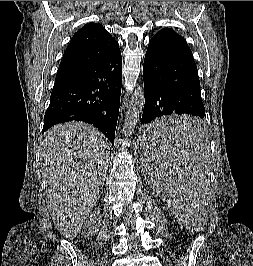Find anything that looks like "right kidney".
I'll return each mask as SVG.
<instances>
[{
    "label": "right kidney",
    "instance_id": "right-kidney-1",
    "mask_svg": "<svg viewBox=\"0 0 253 266\" xmlns=\"http://www.w3.org/2000/svg\"><path fill=\"white\" fill-rule=\"evenodd\" d=\"M94 216L95 215H92L90 219L87 220L84 224L83 234L85 235V237H89L99 230L100 221L98 220V218H95Z\"/></svg>",
    "mask_w": 253,
    "mask_h": 266
}]
</instances>
